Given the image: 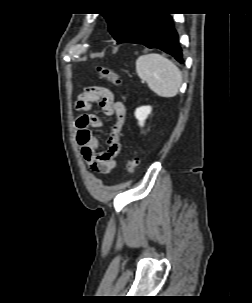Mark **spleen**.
<instances>
[{
	"instance_id": "1",
	"label": "spleen",
	"mask_w": 252,
	"mask_h": 303,
	"mask_svg": "<svg viewBox=\"0 0 252 303\" xmlns=\"http://www.w3.org/2000/svg\"><path fill=\"white\" fill-rule=\"evenodd\" d=\"M136 72L157 95L170 98L178 94L182 74L166 57L157 53L142 55L136 60Z\"/></svg>"
}]
</instances>
